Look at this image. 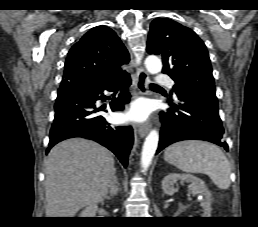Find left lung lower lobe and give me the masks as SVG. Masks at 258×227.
I'll return each mask as SVG.
<instances>
[{"mask_svg":"<svg viewBox=\"0 0 258 227\" xmlns=\"http://www.w3.org/2000/svg\"><path fill=\"white\" fill-rule=\"evenodd\" d=\"M178 101L169 100L171 108L160 112L162 130L158 150L172 143L199 139L215 143L228 151L222 141L224 129L218 113L216 93L197 88H178Z\"/></svg>","mask_w":258,"mask_h":227,"instance_id":"0a47b994","label":"left lung lower lobe"}]
</instances>
